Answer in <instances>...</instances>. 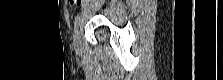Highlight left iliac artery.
I'll return each mask as SVG.
<instances>
[{
    "instance_id": "left-iliac-artery-1",
    "label": "left iliac artery",
    "mask_w": 223,
    "mask_h": 80,
    "mask_svg": "<svg viewBox=\"0 0 223 80\" xmlns=\"http://www.w3.org/2000/svg\"><path fill=\"white\" fill-rule=\"evenodd\" d=\"M80 20H81V16L77 15L74 20V31L78 28V26L80 24Z\"/></svg>"
}]
</instances>
